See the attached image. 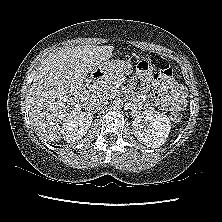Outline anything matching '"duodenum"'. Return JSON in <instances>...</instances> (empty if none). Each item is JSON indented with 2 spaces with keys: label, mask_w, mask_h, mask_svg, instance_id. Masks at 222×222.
<instances>
[{
  "label": "duodenum",
  "mask_w": 222,
  "mask_h": 222,
  "mask_svg": "<svg viewBox=\"0 0 222 222\" xmlns=\"http://www.w3.org/2000/svg\"><path fill=\"white\" fill-rule=\"evenodd\" d=\"M105 75H106V72L103 68H98L97 70H95L89 80L90 87L92 89H95L103 80Z\"/></svg>",
  "instance_id": "1"
}]
</instances>
